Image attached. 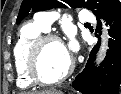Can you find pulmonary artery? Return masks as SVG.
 Segmentation results:
<instances>
[{
	"label": "pulmonary artery",
	"instance_id": "1",
	"mask_svg": "<svg viewBox=\"0 0 121 94\" xmlns=\"http://www.w3.org/2000/svg\"><path fill=\"white\" fill-rule=\"evenodd\" d=\"M57 17L55 12H41L36 15V21L46 30H49L54 19ZM80 20L83 22L93 23L95 21L94 16L89 10H83L80 12Z\"/></svg>",
	"mask_w": 121,
	"mask_h": 94
}]
</instances>
